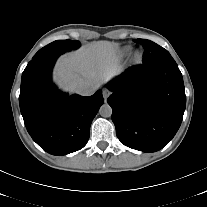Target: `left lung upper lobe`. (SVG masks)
Returning a JSON list of instances; mask_svg holds the SVG:
<instances>
[{"label": "left lung upper lobe", "instance_id": "5c2ea615", "mask_svg": "<svg viewBox=\"0 0 207 207\" xmlns=\"http://www.w3.org/2000/svg\"><path fill=\"white\" fill-rule=\"evenodd\" d=\"M137 42L141 44L145 50L142 61L143 64H152L159 61L172 59V56L166 49L150 40L137 39Z\"/></svg>", "mask_w": 207, "mask_h": 207}]
</instances>
